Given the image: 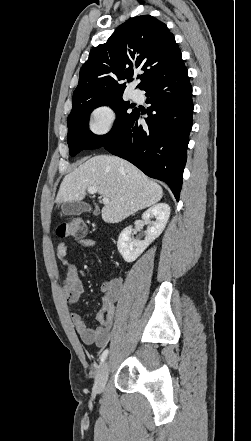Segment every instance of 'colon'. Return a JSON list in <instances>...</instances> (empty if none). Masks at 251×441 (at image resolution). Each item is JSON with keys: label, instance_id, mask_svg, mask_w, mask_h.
Masks as SVG:
<instances>
[{"label": "colon", "instance_id": "colon-1", "mask_svg": "<svg viewBox=\"0 0 251 441\" xmlns=\"http://www.w3.org/2000/svg\"><path fill=\"white\" fill-rule=\"evenodd\" d=\"M88 234V227L84 220L75 217L61 223L57 227V235L61 238H84Z\"/></svg>", "mask_w": 251, "mask_h": 441}]
</instances>
